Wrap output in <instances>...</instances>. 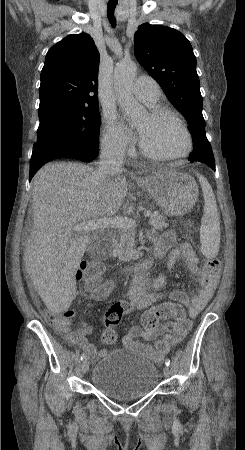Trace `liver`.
<instances>
[{
    "mask_svg": "<svg viewBox=\"0 0 245 450\" xmlns=\"http://www.w3.org/2000/svg\"><path fill=\"white\" fill-rule=\"evenodd\" d=\"M121 173L103 180L90 166L55 162L44 165L32 180L34 223L24 263L52 313L69 309L76 295L75 274L91 243L72 228L119 211L128 191Z\"/></svg>",
    "mask_w": 245,
    "mask_h": 450,
    "instance_id": "6515ba94",
    "label": "liver"
}]
</instances>
